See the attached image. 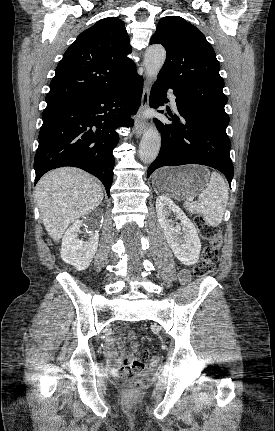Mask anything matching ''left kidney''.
I'll return each instance as SVG.
<instances>
[{"label":"left kidney","mask_w":275,"mask_h":431,"mask_svg":"<svg viewBox=\"0 0 275 431\" xmlns=\"http://www.w3.org/2000/svg\"><path fill=\"white\" fill-rule=\"evenodd\" d=\"M156 212L159 224L175 256L185 265L195 264L199 259L201 242L194 224L186 214L166 196L157 197ZM172 212L176 218L180 220V224L176 226H174L172 220L168 219Z\"/></svg>","instance_id":"left-kidney-1"}]
</instances>
